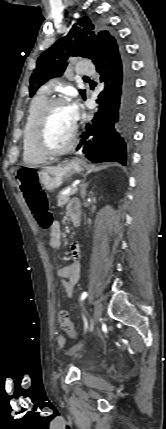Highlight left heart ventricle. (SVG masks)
Returning a JSON list of instances; mask_svg holds the SVG:
<instances>
[{"instance_id": "obj_1", "label": "left heart ventricle", "mask_w": 166, "mask_h": 429, "mask_svg": "<svg viewBox=\"0 0 166 429\" xmlns=\"http://www.w3.org/2000/svg\"><path fill=\"white\" fill-rule=\"evenodd\" d=\"M69 105L59 104L49 113L45 128L44 142L51 149H58L65 146L70 139L74 126Z\"/></svg>"}]
</instances>
